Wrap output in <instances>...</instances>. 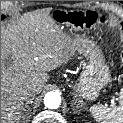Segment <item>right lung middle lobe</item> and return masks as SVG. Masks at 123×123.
<instances>
[{
	"label": "right lung middle lobe",
	"instance_id": "dd1d6c3e",
	"mask_svg": "<svg viewBox=\"0 0 123 123\" xmlns=\"http://www.w3.org/2000/svg\"><path fill=\"white\" fill-rule=\"evenodd\" d=\"M4 18H5V16L4 15H1V20L4 19Z\"/></svg>",
	"mask_w": 123,
	"mask_h": 123
}]
</instances>
